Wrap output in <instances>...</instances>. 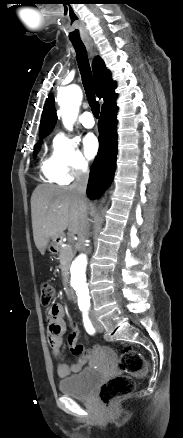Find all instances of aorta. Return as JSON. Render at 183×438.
I'll use <instances>...</instances> for the list:
<instances>
[{
  "mask_svg": "<svg viewBox=\"0 0 183 438\" xmlns=\"http://www.w3.org/2000/svg\"><path fill=\"white\" fill-rule=\"evenodd\" d=\"M57 100L60 105V114L65 127L72 128L82 100V91L77 85H69L58 90ZM88 258L79 255L71 266L70 286L75 292L78 305L90 304L89 284L87 280Z\"/></svg>",
  "mask_w": 183,
  "mask_h": 438,
  "instance_id": "1",
  "label": "aorta"
}]
</instances>
